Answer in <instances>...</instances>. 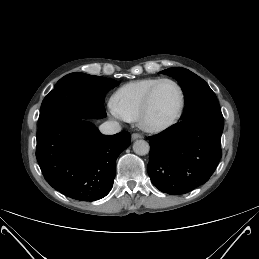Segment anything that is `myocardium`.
Masks as SVG:
<instances>
[{"mask_svg":"<svg viewBox=\"0 0 259 259\" xmlns=\"http://www.w3.org/2000/svg\"><path fill=\"white\" fill-rule=\"evenodd\" d=\"M164 82L172 83L177 88L179 93V106H178L177 112L169 121L162 124H152L148 121V116L151 110L153 96L157 87ZM184 108H185V94L181 85L172 78H161L151 86V88L148 90L145 96V99L138 117L139 126L143 130L150 133L164 132L170 129L171 127H173L180 120L184 112Z\"/></svg>","mask_w":259,"mask_h":259,"instance_id":"obj_1","label":"myocardium"}]
</instances>
